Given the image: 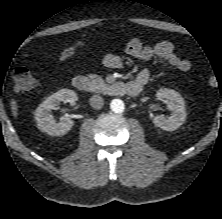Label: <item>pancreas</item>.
<instances>
[{"instance_id": "obj_1", "label": "pancreas", "mask_w": 222, "mask_h": 219, "mask_svg": "<svg viewBox=\"0 0 222 219\" xmlns=\"http://www.w3.org/2000/svg\"><path fill=\"white\" fill-rule=\"evenodd\" d=\"M90 85L89 90L91 92H100L106 87L105 81L98 75H89Z\"/></svg>"}]
</instances>
